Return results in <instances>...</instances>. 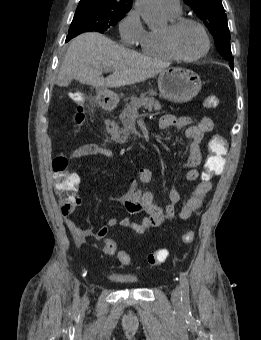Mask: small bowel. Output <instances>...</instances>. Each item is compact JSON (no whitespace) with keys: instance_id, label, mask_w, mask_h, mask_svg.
I'll use <instances>...</instances> for the list:
<instances>
[{"instance_id":"obj_1","label":"small bowel","mask_w":261,"mask_h":340,"mask_svg":"<svg viewBox=\"0 0 261 340\" xmlns=\"http://www.w3.org/2000/svg\"><path fill=\"white\" fill-rule=\"evenodd\" d=\"M161 129L175 127L181 129L186 127L185 136L191 140L189 156L181 164V169L185 171L187 181H195L201 178L198 170L202 162V153L200 142L205 134L211 132L214 128L213 120L208 116L198 118L183 116L175 117L165 115L159 121ZM101 155L107 158H113L114 153L108 144L88 143L77 147L70 155L71 159H78L87 156ZM153 173L148 168H143L139 172V179L142 183H149ZM79 182V177L76 175ZM212 183L201 178V182L195 187L191 195L185 200L178 216L183 219H189L197 211L203 202L205 195L211 190ZM117 202L124 205L130 214L144 212L145 217L139 221L132 220L129 217L117 219L111 217L106 224L101 226L95 233L83 230L78 227L68 216L65 217V225L71 232L76 244L83 246L86 244L88 237L93 236L98 240L103 239L110 228L120 226L129 228L138 234L145 233L148 229L160 226L166 220L173 219L177 214V206L181 202L179 191L173 189L169 193V202L165 207H160L154 203L153 194L150 191H141L135 182L131 181L127 190L116 198ZM81 202V201H80Z\"/></svg>"}]
</instances>
